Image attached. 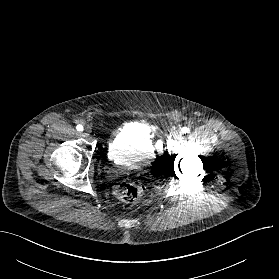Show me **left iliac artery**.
Returning a JSON list of instances; mask_svg holds the SVG:
<instances>
[{
    "instance_id": "44dca946",
    "label": "left iliac artery",
    "mask_w": 279,
    "mask_h": 279,
    "mask_svg": "<svg viewBox=\"0 0 279 279\" xmlns=\"http://www.w3.org/2000/svg\"><path fill=\"white\" fill-rule=\"evenodd\" d=\"M182 132L183 133H188L189 132V128L188 127H183L182 128Z\"/></svg>"
}]
</instances>
